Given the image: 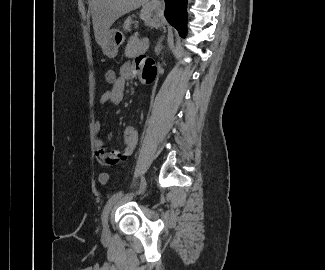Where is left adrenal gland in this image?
I'll use <instances>...</instances> for the list:
<instances>
[{
	"label": "left adrenal gland",
	"mask_w": 325,
	"mask_h": 270,
	"mask_svg": "<svg viewBox=\"0 0 325 270\" xmlns=\"http://www.w3.org/2000/svg\"><path fill=\"white\" fill-rule=\"evenodd\" d=\"M162 50L161 41H159L155 47L156 54L159 55Z\"/></svg>",
	"instance_id": "1"
}]
</instances>
